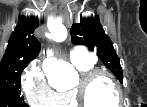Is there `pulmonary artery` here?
<instances>
[{
    "instance_id": "1",
    "label": "pulmonary artery",
    "mask_w": 147,
    "mask_h": 107,
    "mask_svg": "<svg viewBox=\"0 0 147 107\" xmlns=\"http://www.w3.org/2000/svg\"><path fill=\"white\" fill-rule=\"evenodd\" d=\"M70 61L75 64H85L95 62V57L92 54L87 53L81 47H74L70 51Z\"/></svg>"
}]
</instances>
